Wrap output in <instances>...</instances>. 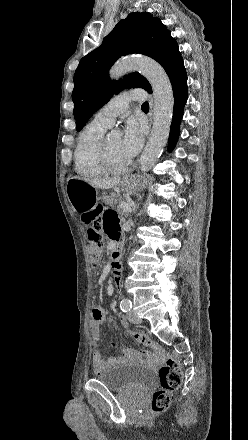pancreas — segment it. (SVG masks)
I'll list each match as a JSON object with an SVG mask.
<instances>
[{"instance_id":"pancreas-1","label":"pancreas","mask_w":248,"mask_h":440,"mask_svg":"<svg viewBox=\"0 0 248 440\" xmlns=\"http://www.w3.org/2000/svg\"><path fill=\"white\" fill-rule=\"evenodd\" d=\"M103 201L106 204L120 203V199H117V196H115V195L105 196V197H103ZM117 208H118V211L120 212L121 215H124V216L127 215L125 211L120 210L121 209L120 205H118Z\"/></svg>"}]
</instances>
